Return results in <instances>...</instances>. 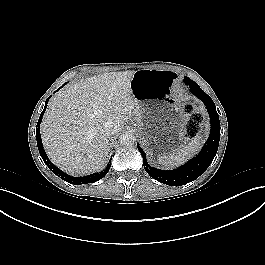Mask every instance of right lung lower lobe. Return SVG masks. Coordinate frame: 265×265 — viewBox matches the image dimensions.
Segmentation results:
<instances>
[{
  "instance_id": "1",
  "label": "right lung lower lobe",
  "mask_w": 265,
  "mask_h": 265,
  "mask_svg": "<svg viewBox=\"0 0 265 265\" xmlns=\"http://www.w3.org/2000/svg\"><path fill=\"white\" fill-rule=\"evenodd\" d=\"M65 85V84H64ZM51 96H49L45 102V107L44 110L42 111L40 118L38 120L37 126H36V138H37V145H38V149H39V153L41 155V157L43 158L45 164L49 167V169L56 174L58 177H60L62 180H65L71 184L74 185H82V184H87V183H93L98 181L99 179L103 178L107 172L109 171V168L111 166V162L108 163L106 169H104L103 171H101L100 173H94V174H90L87 176H83V177H73L70 176L66 173H64L63 171H61L59 168H57L47 157L44 148H43V144L41 141V136H40V123L42 121V117L44 115V112L46 110L47 107V103L48 100Z\"/></svg>"
}]
</instances>
